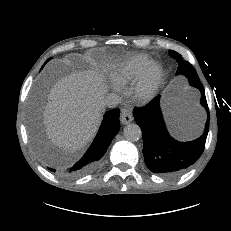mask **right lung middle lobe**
<instances>
[{"label": "right lung middle lobe", "mask_w": 231, "mask_h": 231, "mask_svg": "<svg viewBox=\"0 0 231 231\" xmlns=\"http://www.w3.org/2000/svg\"><path fill=\"white\" fill-rule=\"evenodd\" d=\"M37 127H38V125L35 124V125H34V128H32V132H33V137H34V143H35V145H38V144H39L38 135H39V137H40V134H39V131L37 130ZM40 139H41V137H40Z\"/></svg>", "instance_id": "dd1d6c3e"}]
</instances>
